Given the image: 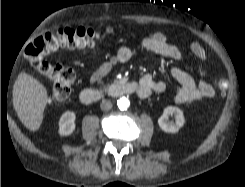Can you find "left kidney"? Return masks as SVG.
I'll list each match as a JSON object with an SVG mask.
<instances>
[{
  "label": "left kidney",
  "mask_w": 245,
  "mask_h": 187,
  "mask_svg": "<svg viewBox=\"0 0 245 187\" xmlns=\"http://www.w3.org/2000/svg\"><path fill=\"white\" fill-rule=\"evenodd\" d=\"M175 116V122L169 121V116ZM185 118L183 112L175 106L164 108L162 116L158 119L159 127L167 133H177L184 125Z\"/></svg>",
  "instance_id": "left-kidney-1"
}]
</instances>
